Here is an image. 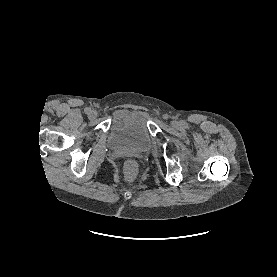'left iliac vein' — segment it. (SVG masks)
I'll list each match as a JSON object with an SVG mask.
<instances>
[{"mask_svg": "<svg viewBox=\"0 0 277 277\" xmlns=\"http://www.w3.org/2000/svg\"><path fill=\"white\" fill-rule=\"evenodd\" d=\"M171 125H172V127L176 128V129L180 128V126H181L180 122H178V121H172Z\"/></svg>", "mask_w": 277, "mask_h": 277, "instance_id": "1", "label": "left iliac vein"}]
</instances>
